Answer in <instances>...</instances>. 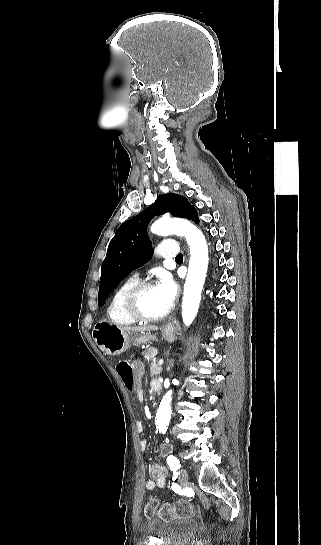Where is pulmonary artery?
Returning <instances> with one entry per match:
<instances>
[{"label": "pulmonary artery", "instance_id": "e3ab8cb5", "mask_svg": "<svg viewBox=\"0 0 321 545\" xmlns=\"http://www.w3.org/2000/svg\"><path fill=\"white\" fill-rule=\"evenodd\" d=\"M156 248L161 252L159 257L162 261H173L174 257H178L180 250L176 241H160L157 243ZM133 277H138V273L134 272Z\"/></svg>", "mask_w": 321, "mask_h": 545}]
</instances>
